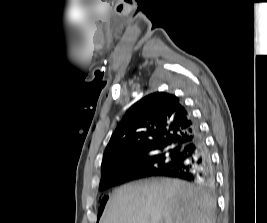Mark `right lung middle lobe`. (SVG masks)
Returning a JSON list of instances; mask_svg holds the SVG:
<instances>
[{
  "label": "right lung middle lobe",
  "instance_id": "dd1d6c3e",
  "mask_svg": "<svg viewBox=\"0 0 267 223\" xmlns=\"http://www.w3.org/2000/svg\"><path fill=\"white\" fill-rule=\"evenodd\" d=\"M179 152L174 147L164 148L160 151L154 152L150 155H147L142 158L141 168L138 169L135 173L139 175H154L164 169L170 168L177 160L179 156ZM106 180H102L100 188L102 189ZM108 197H104L101 201L100 210L98 213V217L102 213L104 206L106 204Z\"/></svg>",
  "mask_w": 267,
  "mask_h": 223
}]
</instances>
